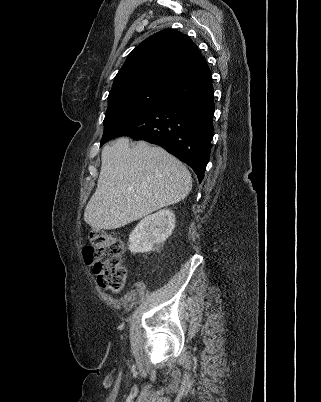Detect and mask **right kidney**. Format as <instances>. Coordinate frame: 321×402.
Listing matches in <instances>:
<instances>
[{
    "label": "right kidney",
    "instance_id": "ca27d5eb",
    "mask_svg": "<svg viewBox=\"0 0 321 402\" xmlns=\"http://www.w3.org/2000/svg\"><path fill=\"white\" fill-rule=\"evenodd\" d=\"M175 215L169 209L143 218L129 235L131 253H147L161 246L172 234Z\"/></svg>",
    "mask_w": 321,
    "mask_h": 402
}]
</instances>
